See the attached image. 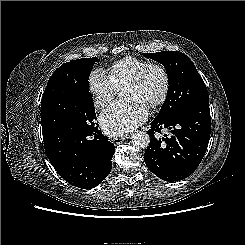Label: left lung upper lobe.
I'll list each match as a JSON object with an SVG mask.
<instances>
[{"mask_svg": "<svg viewBox=\"0 0 245 245\" xmlns=\"http://www.w3.org/2000/svg\"><path fill=\"white\" fill-rule=\"evenodd\" d=\"M145 56L161 63L168 75L167 97L156 120H170L194 104L209 103L206 85L188 56L176 51L145 53Z\"/></svg>", "mask_w": 245, "mask_h": 245, "instance_id": "5c2ea615", "label": "left lung upper lobe"}]
</instances>
